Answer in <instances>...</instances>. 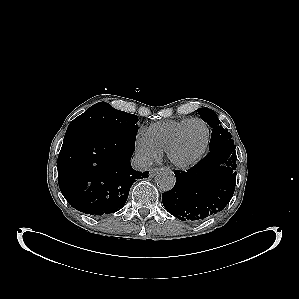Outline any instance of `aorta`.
<instances>
[{"mask_svg": "<svg viewBox=\"0 0 299 299\" xmlns=\"http://www.w3.org/2000/svg\"><path fill=\"white\" fill-rule=\"evenodd\" d=\"M156 182L162 191H169L174 187L176 178L170 171H161L156 176Z\"/></svg>", "mask_w": 299, "mask_h": 299, "instance_id": "762f6f07", "label": "aorta"}]
</instances>
